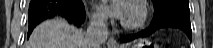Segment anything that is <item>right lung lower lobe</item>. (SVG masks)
Returning <instances> with one entry per match:
<instances>
[{"mask_svg":"<svg viewBox=\"0 0 213 48\" xmlns=\"http://www.w3.org/2000/svg\"><path fill=\"white\" fill-rule=\"evenodd\" d=\"M57 16L79 26L84 22L86 13L81 0H31L28 11V38L37 24Z\"/></svg>","mask_w":213,"mask_h":48,"instance_id":"1","label":"right lung lower lobe"}]
</instances>
